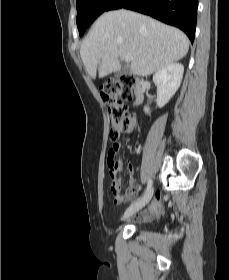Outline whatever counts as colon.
I'll list each match as a JSON object with an SVG mask.
<instances>
[{
  "label": "colon",
  "mask_w": 229,
  "mask_h": 280,
  "mask_svg": "<svg viewBox=\"0 0 229 280\" xmlns=\"http://www.w3.org/2000/svg\"><path fill=\"white\" fill-rule=\"evenodd\" d=\"M135 80L131 76L124 75L117 80L104 83L99 87L103 101L109 107L111 119L110 139L111 146L108 151V165H115V153L120 147V138L134 127V119L127 115L125 101L131 100Z\"/></svg>",
  "instance_id": "5ec220e1"
}]
</instances>
